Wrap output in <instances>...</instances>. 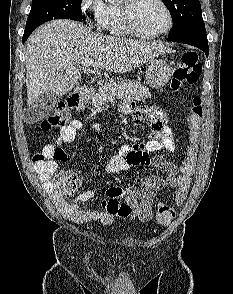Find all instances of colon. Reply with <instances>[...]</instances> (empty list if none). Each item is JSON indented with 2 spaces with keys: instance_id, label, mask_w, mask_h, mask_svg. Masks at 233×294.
I'll return each mask as SVG.
<instances>
[{
  "instance_id": "obj_1",
  "label": "colon",
  "mask_w": 233,
  "mask_h": 294,
  "mask_svg": "<svg viewBox=\"0 0 233 294\" xmlns=\"http://www.w3.org/2000/svg\"><path fill=\"white\" fill-rule=\"evenodd\" d=\"M202 67L195 52H185L177 63L172 78V87L179 89L183 85H192L197 82ZM69 113L64 106L60 105L46 120L41 123V128L48 131L54 128H62L69 122ZM203 120V105L199 96H194L187 117L188 123V145L185 157L181 164V173L178 177V186L174 195V203L182 205L188 195L192 177L195 172L196 151ZM35 162L46 161L44 153L34 158ZM57 190L65 197L72 195L80 185V178L70 172H61L54 178ZM120 212L127 214L130 209L125 204L120 206ZM175 217V210L167 204H159L156 213V222L159 225H168Z\"/></svg>"
}]
</instances>
